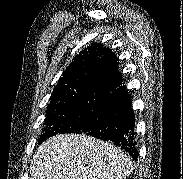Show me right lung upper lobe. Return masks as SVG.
Here are the masks:
<instances>
[{
  "mask_svg": "<svg viewBox=\"0 0 183 179\" xmlns=\"http://www.w3.org/2000/svg\"><path fill=\"white\" fill-rule=\"evenodd\" d=\"M117 66L115 53L102 44L85 48L64 71L48 106L86 96H106L122 82Z\"/></svg>",
  "mask_w": 183,
  "mask_h": 179,
  "instance_id": "right-lung-upper-lobe-1",
  "label": "right lung upper lobe"
}]
</instances>
